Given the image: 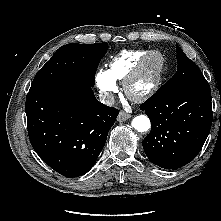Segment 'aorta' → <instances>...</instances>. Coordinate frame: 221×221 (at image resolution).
I'll return each mask as SVG.
<instances>
[{
  "mask_svg": "<svg viewBox=\"0 0 221 221\" xmlns=\"http://www.w3.org/2000/svg\"><path fill=\"white\" fill-rule=\"evenodd\" d=\"M132 126L138 132H146L150 129V120L146 115H138L133 118Z\"/></svg>",
  "mask_w": 221,
  "mask_h": 221,
  "instance_id": "aorta-1",
  "label": "aorta"
}]
</instances>
